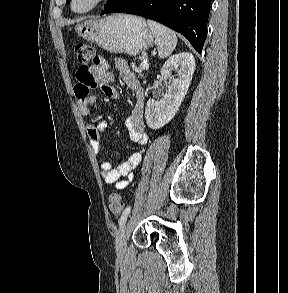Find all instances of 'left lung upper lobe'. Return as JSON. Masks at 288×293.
<instances>
[{
  "instance_id": "left-lung-upper-lobe-1",
  "label": "left lung upper lobe",
  "mask_w": 288,
  "mask_h": 293,
  "mask_svg": "<svg viewBox=\"0 0 288 293\" xmlns=\"http://www.w3.org/2000/svg\"><path fill=\"white\" fill-rule=\"evenodd\" d=\"M114 0H108L105 6L110 5ZM70 0H66V3L68 4Z\"/></svg>"
}]
</instances>
